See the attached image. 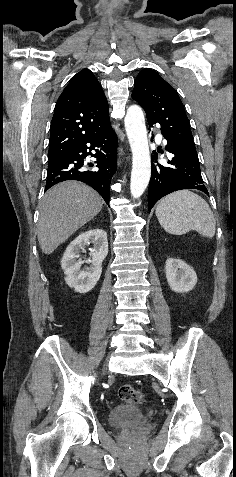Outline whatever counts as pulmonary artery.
Listing matches in <instances>:
<instances>
[{"instance_id": "obj_1", "label": "pulmonary artery", "mask_w": 236, "mask_h": 477, "mask_svg": "<svg viewBox=\"0 0 236 477\" xmlns=\"http://www.w3.org/2000/svg\"><path fill=\"white\" fill-rule=\"evenodd\" d=\"M160 140L162 139L160 136L158 137Z\"/></svg>"}]
</instances>
